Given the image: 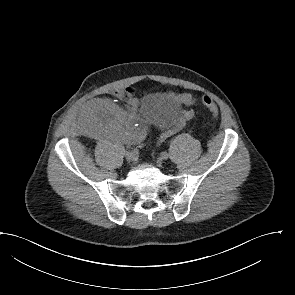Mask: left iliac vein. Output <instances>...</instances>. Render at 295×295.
<instances>
[{
  "mask_svg": "<svg viewBox=\"0 0 295 295\" xmlns=\"http://www.w3.org/2000/svg\"><path fill=\"white\" fill-rule=\"evenodd\" d=\"M168 158V154L166 155V157H160V158H158L157 159V164H158V166H162V164H163V161L164 160H166Z\"/></svg>",
  "mask_w": 295,
  "mask_h": 295,
  "instance_id": "left-iliac-vein-1",
  "label": "left iliac vein"
}]
</instances>
